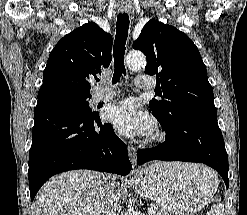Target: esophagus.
I'll return each instance as SVG.
<instances>
[{
	"mask_svg": "<svg viewBox=\"0 0 247 215\" xmlns=\"http://www.w3.org/2000/svg\"><path fill=\"white\" fill-rule=\"evenodd\" d=\"M121 12H125V10H121ZM136 147L134 146H129L128 147V152H129V157H130V161H131V164L133 166V173H135L137 170H136Z\"/></svg>",
	"mask_w": 247,
	"mask_h": 215,
	"instance_id": "1",
	"label": "esophagus"
}]
</instances>
